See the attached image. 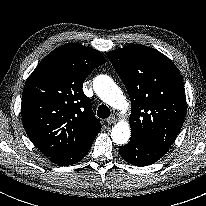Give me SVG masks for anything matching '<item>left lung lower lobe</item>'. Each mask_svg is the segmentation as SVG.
Instances as JSON below:
<instances>
[{"label": "left lung lower lobe", "mask_w": 206, "mask_h": 206, "mask_svg": "<svg viewBox=\"0 0 206 206\" xmlns=\"http://www.w3.org/2000/svg\"><path fill=\"white\" fill-rule=\"evenodd\" d=\"M169 148L131 138L130 142L120 147L121 157L135 166H147L158 161Z\"/></svg>", "instance_id": "obj_1"}]
</instances>
